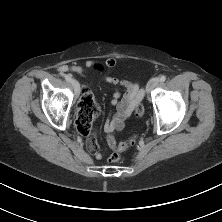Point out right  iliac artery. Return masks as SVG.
<instances>
[{
    "label": "right iliac artery",
    "instance_id": "82829eb1",
    "mask_svg": "<svg viewBox=\"0 0 222 222\" xmlns=\"http://www.w3.org/2000/svg\"><path fill=\"white\" fill-rule=\"evenodd\" d=\"M66 81L71 82L72 81V77L70 75H66L65 76Z\"/></svg>",
    "mask_w": 222,
    "mask_h": 222
}]
</instances>
